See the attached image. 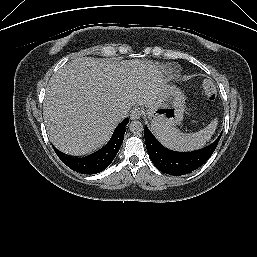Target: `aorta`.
I'll use <instances>...</instances> for the list:
<instances>
[{
    "label": "aorta",
    "mask_w": 257,
    "mask_h": 257,
    "mask_svg": "<svg viewBox=\"0 0 257 257\" xmlns=\"http://www.w3.org/2000/svg\"><path fill=\"white\" fill-rule=\"evenodd\" d=\"M129 130L134 134H139L143 131V125L140 121L134 120L129 124Z\"/></svg>",
    "instance_id": "1"
}]
</instances>
